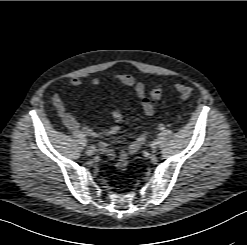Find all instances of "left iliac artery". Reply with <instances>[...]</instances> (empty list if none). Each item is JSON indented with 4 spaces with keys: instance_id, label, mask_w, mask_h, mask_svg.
<instances>
[{
    "instance_id": "44dca946",
    "label": "left iliac artery",
    "mask_w": 247,
    "mask_h": 245,
    "mask_svg": "<svg viewBox=\"0 0 247 245\" xmlns=\"http://www.w3.org/2000/svg\"><path fill=\"white\" fill-rule=\"evenodd\" d=\"M164 128H165V127H164L163 124H160V125H159V129H160V130H163Z\"/></svg>"
}]
</instances>
